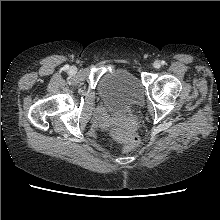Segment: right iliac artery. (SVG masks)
Masks as SVG:
<instances>
[{
  "mask_svg": "<svg viewBox=\"0 0 220 220\" xmlns=\"http://www.w3.org/2000/svg\"><path fill=\"white\" fill-rule=\"evenodd\" d=\"M65 68H66V69H68V68H69V66H68V65H66V66H65Z\"/></svg>",
  "mask_w": 220,
  "mask_h": 220,
  "instance_id": "82829eb1",
  "label": "right iliac artery"
}]
</instances>
